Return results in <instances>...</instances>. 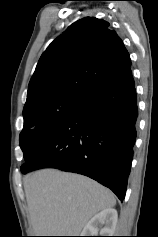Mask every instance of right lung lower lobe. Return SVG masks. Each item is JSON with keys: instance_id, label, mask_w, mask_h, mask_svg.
<instances>
[{"instance_id": "obj_1", "label": "right lung lower lobe", "mask_w": 158, "mask_h": 237, "mask_svg": "<svg viewBox=\"0 0 158 237\" xmlns=\"http://www.w3.org/2000/svg\"><path fill=\"white\" fill-rule=\"evenodd\" d=\"M138 116L130 68L93 92L39 147L22 173L51 167L86 175L123 201Z\"/></svg>"}]
</instances>
